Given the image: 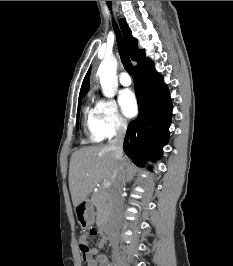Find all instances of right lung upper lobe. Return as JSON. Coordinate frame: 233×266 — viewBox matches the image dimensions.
Instances as JSON below:
<instances>
[{
	"label": "right lung upper lobe",
	"instance_id": "obj_1",
	"mask_svg": "<svg viewBox=\"0 0 233 266\" xmlns=\"http://www.w3.org/2000/svg\"><path fill=\"white\" fill-rule=\"evenodd\" d=\"M120 27L125 39V43L127 46V49L129 51L130 57L133 61L137 62V65L134 67L137 68L138 66L142 65L143 63L147 62L149 59L145 58L144 55V50H139L138 46H137V40L132 36L131 30L128 27L125 19H120ZM90 70L91 68L88 70L82 86H81V90H80V94H79V98L84 97L85 94L88 92L89 90V76H90Z\"/></svg>",
	"mask_w": 233,
	"mask_h": 266
}]
</instances>
